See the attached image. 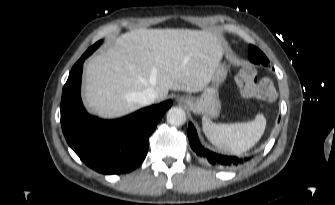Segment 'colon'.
Here are the masks:
<instances>
[{"mask_svg":"<svg viewBox=\"0 0 335 205\" xmlns=\"http://www.w3.org/2000/svg\"><path fill=\"white\" fill-rule=\"evenodd\" d=\"M235 81L241 93L246 97L268 100L275 96L272 81L269 79L258 80L256 71L252 67H242L236 74Z\"/></svg>","mask_w":335,"mask_h":205,"instance_id":"5ec220e1","label":"colon"}]
</instances>
